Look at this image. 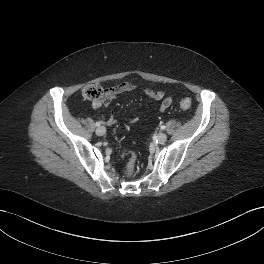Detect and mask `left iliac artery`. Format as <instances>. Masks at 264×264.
Listing matches in <instances>:
<instances>
[{
  "label": "left iliac artery",
  "instance_id": "obj_1",
  "mask_svg": "<svg viewBox=\"0 0 264 264\" xmlns=\"http://www.w3.org/2000/svg\"><path fill=\"white\" fill-rule=\"evenodd\" d=\"M161 129L164 130L165 129V126L164 125H161Z\"/></svg>",
  "mask_w": 264,
  "mask_h": 264
}]
</instances>
